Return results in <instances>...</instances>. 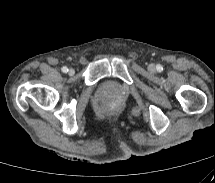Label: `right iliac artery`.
<instances>
[{
    "mask_svg": "<svg viewBox=\"0 0 215 183\" xmlns=\"http://www.w3.org/2000/svg\"><path fill=\"white\" fill-rule=\"evenodd\" d=\"M62 72L67 73L68 72V68L67 67H62Z\"/></svg>",
    "mask_w": 215,
    "mask_h": 183,
    "instance_id": "right-iliac-artery-1",
    "label": "right iliac artery"
}]
</instances>
